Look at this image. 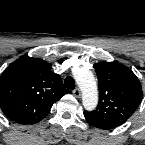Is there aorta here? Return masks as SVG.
Returning <instances> with one entry per match:
<instances>
[{
    "instance_id": "1",
    "label": "aorta",
    "mask_w": 145,
    "mask_h": 145,
    "mask_svg": "<svg viewBox=\"0 0 145 145\" xmlns=\"http://www.w3.org/2000/svg\"><path fill=\"white\" fill-rule=\"evenodd\" d=\"M75 80L82 92V103L86 110H93L98 104L97 83L93 73L80 68L74 73Z\"/></svg>"
}]
</instances>
